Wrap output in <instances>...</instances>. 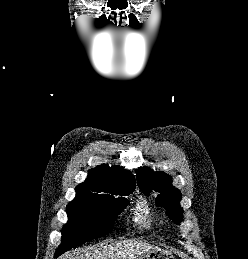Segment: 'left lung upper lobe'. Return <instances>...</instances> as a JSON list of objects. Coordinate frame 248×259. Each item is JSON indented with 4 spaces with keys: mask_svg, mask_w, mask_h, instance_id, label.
<instances>
[{
    "mask_svg": "<svg viewBox=\"0 0 248 259\" xmlns=\"http://www.w3.org/2000/svg\"><path fill=\"white\" fill-rule=\"evenodd\" d=\"M138 185L140 189L149 195L152 190L160 194L156 203L166 209V214L179 224L182 218L183 209L180 207L181 194L178 189L172 186L171 177L164 172H152L150 169H142L137 172Z\"/></svg>",
    "mask_w": 248,
    "mask_h": 259,
    "instance_id": "5c2ea615",
    "label": "left lung upper lobe"
}]
</instances>
